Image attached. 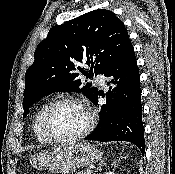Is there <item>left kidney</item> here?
Here are the masks:
<instances>
[{
	"mask_svg": "<svg viewBox=\"0 0 175 174\" xmlns=\"http://www.w3.org/2000/svg\"><path fill=\"white\" fill-rule=\"evenodd\" d=\"M105 174H114V172L109 171V172H106Z\"/></svg>",
	"mask_w": 175,
	"mask_h": 174,
	"instance_id": "1",
	"label": "left kidney"
}]
</instances>
